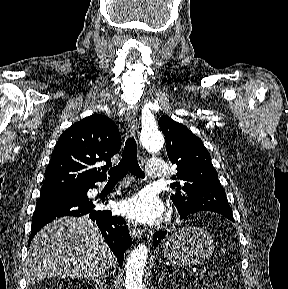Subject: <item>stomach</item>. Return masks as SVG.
Listing matches in <instances>:
<instances>
[{
    "mask_svg": "<svg viewBox=\"0 0 288 289\" xmlns=\"http://www.w3.org/2000/svg\"><path fill=\"white\" fill-rule=\"evenodd\" d=\"M213 239L204 229L183 227L166 241L164 258L168 264L193 266L204 262L213 252Z\"/></svg>",
    "mask_w": 288,
    "mask_h": 289,
    "instance_id": "obj_1",
    "label": "stomach"
}]
</instances>
